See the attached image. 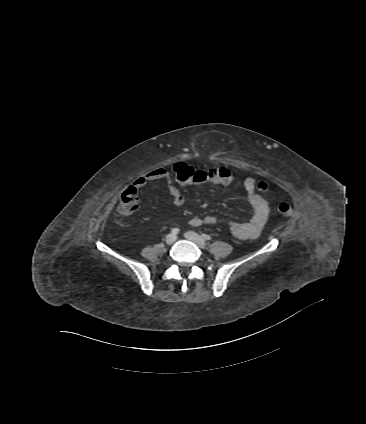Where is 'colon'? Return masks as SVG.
I'll return each instance as SVG.
<instances>
[{
	"mask_svg": "<svg viewBox=\"0 0 366 424\" xmlns=\"http://www.w3.org/2000/svg\"><path fill=\"white\" fill-rule=\"evenodd\" d=\"M174 175L180 184L204 183L212 182L219 174V180L224 183H230L233 179L232 172L223 170L220 172L219 167H213L207 170L199 169L186 162H178L174 165ZM220 172V173H219ZM258 188L261 191H267L269 186L265 181L258 182ZM138 208V200L134 189L126 190L121 196L118 212L120 215L127 216L134 213ZM278 212L284 218H288L292 214V208L289 204L283 202L278 206Z\"/></svg>",
	"mask_w": 366,
	"mask_h": 424,
	"instance_id": "1",
	"label": "colon"
}]
</instances>
